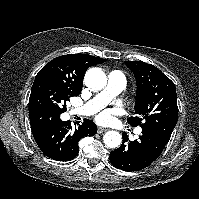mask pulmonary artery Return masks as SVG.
I'll return each mask as SVG.
<instances>
[{
	"label": "pulmonary artery",
	"instance_id": "obj_1",
	"mask_svg": "<svg viewBox=\"0 0 199 199\" xmlns=\"http://www.w3.org/2000/svg\"><path fill=\"white\" fill-rule=\"evenodd\" d=\"M126 80L122 72L113 70L108 75V84L106 88L97 94L92 100L80 108H76L72 113L77 115H91L103 108L114 96L119 94L125 87ZM140 134L141 131L136 132Z\"/></svg>",
	"mask_w": 199,
	"mask_h": 199
}]
</instances>
